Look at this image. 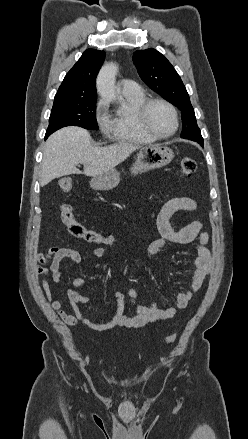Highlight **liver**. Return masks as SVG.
<instances>
[{
    "instance_id": "6515ba94",
    "label": "liver",
    "mask_w": 248,
    "mask_h": 439,
    "mask_svg": "<svg viewBox=\"0 0 248 439\" xmlns=\"http://www.w3.org/2000/svg\"><path fill=\"white\" fill-rule=\"evenodd\" d=\"M140 146L118 143L106 147L91 144L89 132L70 126L53 133L46 141L41 163L40 184L46 185L55 178L80 174L77 164H83V174L95 177L125 161Z\"/></svg>"
}]
</instances>
